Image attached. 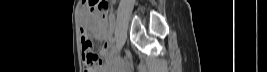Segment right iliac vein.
Returning <instances> with one entry per match:
<instances>
[{"instance_id":"right-iliac-vein-1","label":"right iliac vein","mask_w":267,"mask_h":72,"mask_svg":"<svg viewBox=\"0 0 267 72\" xmlns=\"http://www.w3.org/2000/svg\"><path fill=\"white\" fill-rule=\"evenodd\" d=\"M119 50H120V48L117 47V48L114 50L113 54L116 55V54L119 52Z\"/></svg>"}]
</instances>
